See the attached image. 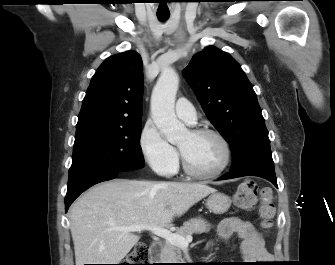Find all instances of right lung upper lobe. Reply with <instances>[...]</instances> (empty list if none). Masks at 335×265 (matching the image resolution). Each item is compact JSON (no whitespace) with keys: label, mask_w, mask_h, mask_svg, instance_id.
Listing matches in <instances>:
<instances>
[{"label":"right lung upper lobe","mask_w":335,"mask_h":265,"mask_svg":"<svg viewBox=\"0 0 335 265\" xmlns=\"http://www.w3.org/2000/svg\"><path fill=\"white\" fill-rule=\"evenodd\" d=\"M142 94L141 56L134 51L110 56L91 79L78 116L77 130L140 121Z\"/></svg>","instance_id":"cb5924a9"}]
</instances>
